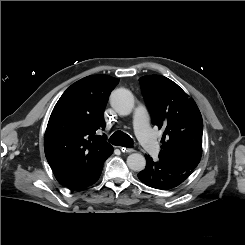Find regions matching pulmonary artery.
Listing matches in <instances>:
<instances>
[{
    "label": "pulmonary artery",
    "mask_w": 245,
    "mask_h": 245,
    "mask_svg": "<svg viewBox=\"0 0 245 245\" xmlns=\"http://www.w3.org/2000/svg\"><path fill=\"white\" fill-rule=\"evenodd\" d=\"M133 125L143 148L150 154H157L159 144L152 132L149 124V116L144 107L140 106L136 108L133 115Z\"/></svg>",
    "instance_id": "1"
}]
</instances>
